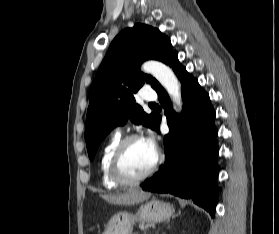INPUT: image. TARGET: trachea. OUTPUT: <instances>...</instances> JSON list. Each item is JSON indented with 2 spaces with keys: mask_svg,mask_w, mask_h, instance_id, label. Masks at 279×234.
Masks as SVG:
<instances>
[{
  "mask_svg": "<svg viewBox=\"0 0 279 234\" xmlns=\"http://www.w3.org/2000/svg\"><path fill=\"white\" fill-rule=\"evenodd\" d=\"M149 105L152 106V105H155V103H150Z\"/></svg>",
  "mask_w": 279,
  "mask_h": 234,
  "instance_id": "obj_1",
  "label": "trachea"
}]
</instances>
